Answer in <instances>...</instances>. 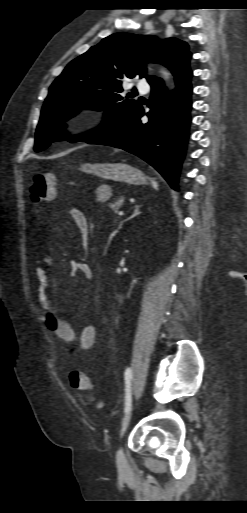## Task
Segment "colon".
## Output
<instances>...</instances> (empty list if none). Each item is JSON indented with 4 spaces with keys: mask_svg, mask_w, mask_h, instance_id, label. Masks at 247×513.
I'll return each mask as SVG.
<instances>
[{
    "mask_svg": "<svg viewBox=\"0 0 247 513\" xmlns=\"http://www.w3.org/2000/svg\"><path fill=\"white\" fill-rule=\"evenodd\" d=\"M57 182L52 173L42 172L33 177L29 186V196L31 200L38 204L44 201L53 200L57 196ZM99 200L106 201L110 195V188L107 184L102 183L98 186ZM70 385L80 391L91 390L90 378L79 371H72L69 375Z\"/></svg>",
    "mask_w": 247,
    "mask_h": 513,
    "instance_id": "colon-1",
    "label": "colon"
}]
</instances>
